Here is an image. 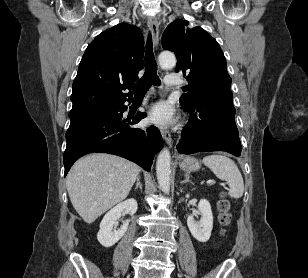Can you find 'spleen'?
<instances>
[{
  "instance_id": "obj_1",
  "label": "spleen",
  "mask_w": 308,
  "mask_h": 278,
  "mask_svg": "<svg viewBox=\"0 0 308 278\" xmlns=\"http://www.w3.org/2000/svg\"><path fill=\"white\" fill-rule=\"evenodd\" d=\"M203 163L221 180L229 185V196L238 199L244 193V182L237 165L230 158L213 154L203 158Z\"/></svg>"
}]
</instances>
